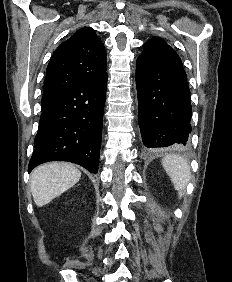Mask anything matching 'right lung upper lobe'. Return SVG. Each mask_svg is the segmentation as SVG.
<instances>
[{
  "mask_svg": "<svg viewBox=\"0 0 232 282\" xmlns=\"http://www.w3.org/2000/svg\"><path fill=\"white\" fill-rule=\"evenodd\" d=\"M106 70L104 44L92 28L79 29L54 51L46 70L42 101L53 103L68 88Z\"/></svg>",
  "mask_w": 232,
  "mask_h": 282,
  "instance_id": "obj_1",
  "label": "right lung upper lobe"
}]
</instances>
